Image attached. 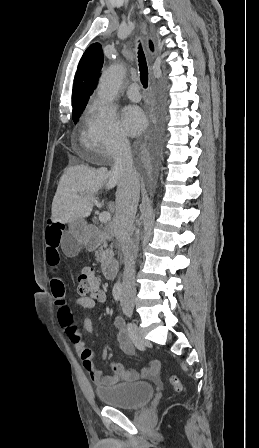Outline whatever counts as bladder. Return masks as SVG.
<instances>
[{
  "instance_id": "obj_1",
  "label": "bladder",
  "mask_w": 259,
  "mask_h": 448,
  "mask_svg": "<svg viewBox=\"0 0 259 448\" xmlns=\"http://www.w3.org/2000/svg\"><path fill=\"white\" fill-rule=\"evenodd\" d=\"M98 399L107 406L136 409L147 404L154 395L150 383H120L96 390Z\"/></svg>"
}]
</instances>
